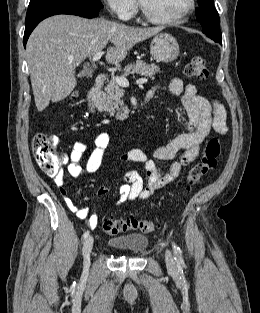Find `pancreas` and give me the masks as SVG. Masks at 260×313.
I'll use <instances>...</instances> for the list:
<instances>
[{
	"label": "pancreas",
	"instance_id": "cf45deb5",
	"mask_svg": "<svg viewBox=\"0 0 260 313\" xmlns=\"http://www.w3.org/2000/svg\"><path fill=\"white\" fill-rule=\"evenodd\" d=\"M159 70V67L155 64L148 65L143 61H136V63H131L125 67L123 76L137 73L141 76L153 78ZM123 92L115 79L110 80L104 92H101L98 96L99 108L108 112L110 116H115L118 120H125L128 117L129 110L124 105Z\"/></svg>",
	"mask_w": 260,
	"mask_h": 313
}]
</instances>
